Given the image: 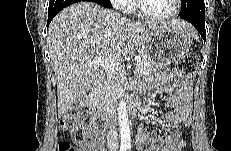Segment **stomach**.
<instances>
[{"instance_id": "obj_1", "label": "stomach", "mask_w": 231, "mask_h": 151, "mask_svg": "<svg viewBox=\"0 0 231 151\" xmlns=\"http://www.w3.org/2000/svg\"><path fill=\"white\" fill-rule=\"evenodd\" d=\"M191 46L190 37L172 24L160 26L150 36L144 55L157 68H163L182 58Z\"/></svg>"}]
</instances>
